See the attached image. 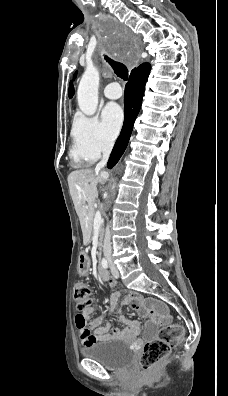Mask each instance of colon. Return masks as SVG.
Listing matches in <instances>:
<instances>
[{"label":"colon","mask_w":228,"mask_h":396,"mask_svg":"<svg viewBox=\"0 0 228 396\" xmlns=\"http://www.w3.org/2000/svg\"><path fill=\"white\" fill-rule=\"evenodd\" d=\"M74 298L79 313L76 315V326L82 329L87 324L85 310L91 303L88 286L84 282H77L74 287ZM184 329L179 324H171L162 328L155 338L148 340L139 359L140 367L145 371L154 370L169 354L172 347L182 339Z\"/></svg>","instance_id":"1"}]
</instances>
